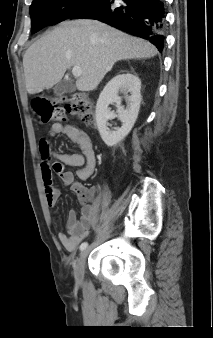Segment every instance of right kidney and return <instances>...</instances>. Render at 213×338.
Masks as SVG:
<instances>
[{"label": "right kidney", "mask_w": 213, "mask_h": 338, "mask_svg": "<svg viewBox=\"0 0 213 338\" xmlns=\"http://www.w3.org/2000/svg\"><path fill=\"white\" fill-rule=\"evenodd\" d=\"M141 81L133 74H119L111 79L101 92L96 104V123L102 140L109 147L117 145L122 141L133 128L138 117L141 102ZM119 92L127 94V107L121 106ZM117 103L120 106L118 118L122 122L121 128L110 130L108 120L116 117L110 111L109 105Z\"/></svg>", "instance_id": "ca27d5eb"}]
</instances>
